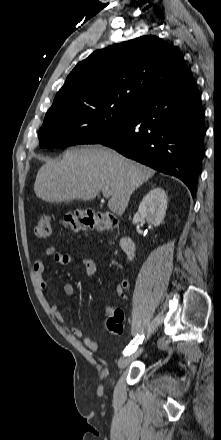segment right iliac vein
Wrapping results in <instances>:
<instances>
[{
	"instance_id": "63e3f726",
	"label": "right iliac vein",
	"mask_w": 221,
	"mask_h": 440,
	"mask_svg": "<svg viewBox=\"0 0 221 440\" xmlns=\"http://www.w3.org/2000/svg\"><path fill=\"white\" fill-rule=\"evenodd\" d=\"M143 349L139 348L136 352H134L133 354L129 355V356H125L120 358V360L118 361V366L120 368H124L127 365H129L133 360H135L141 353H142Z\"/></svg>"
}]
</instances>
